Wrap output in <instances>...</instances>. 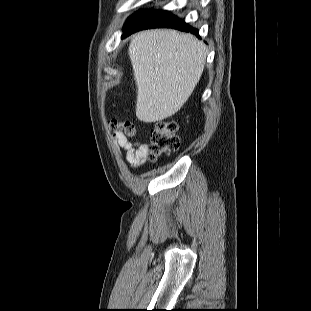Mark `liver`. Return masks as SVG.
Masks as SVG:
<instances>
[{
  "instance_id": "obj_1",
  "label": "liver",
  "mask_w": 311,
  "mask_h": 311,
  "mask_svg": "<svg viewBox=\"0 0 311 311\" xmlns=\"http://www.w3.org/2000/svg\"><path fill=\"white\" fill-rule=\"evenodd\" d=\"M137 86L136 117L162 121L177 113L203 73L207 48L191 34L169 29L147 30L129 45Z\"/></svg>"
}]
</instances>
